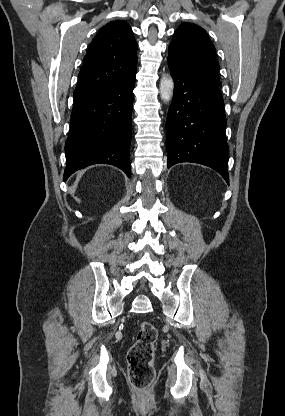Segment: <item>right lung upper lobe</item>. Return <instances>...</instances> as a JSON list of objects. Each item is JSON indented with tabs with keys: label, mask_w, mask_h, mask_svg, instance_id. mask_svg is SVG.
Listing matches in <instances>:
<instances>
[{
	"label": "right lung upper lobe",
	"mask_w": 285,
	"mask_h": 416,
	"mask_svg": "<svg viewBox=\"0 0 285 416\" xmlns=\"http://www.w3.org/2000/svg\"><path fill=\"white\" fill-rule=\"evenodd\" d=\"M137 47L126 22L107 23L89 46L74 91V101L104 92L134 75Z\"/></svg>",
	"instance_id": "right-lung-upper-lobe-1"
}]
</instances>
